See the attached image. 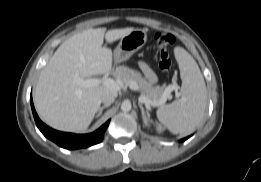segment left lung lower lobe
<instances>
[{
    "mask_svg": "<svg viewBox=\"0 0 261 182\" xmlns=\"http://www.w3.org/2000/svg\"><path fill=\"white\" fill-rule=\"evenodd\" d=\"M189 137H186V138H184V139H181V142H183V141H185V140H187Z\"/></svg>",
    "mask_w": 261,
    "mask_h": 182,
    "instance_id": "obj_1",
    "label": "left lung lower lobe"
}]
</instances>
